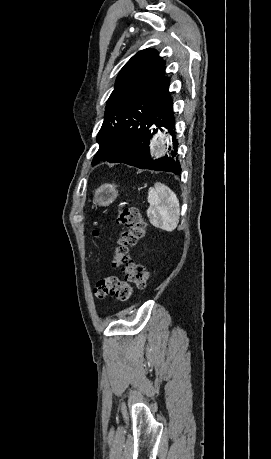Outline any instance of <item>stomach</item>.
Listing matches in <instances>:
<instances>
[{
  "label": "stomach",
  "instance_id": "stomach-1",
  "mask_svg": "<svg viewBox=\"0 0 271 459\" xmlns=\"http://www.w3.org/2000/svg\"><path fill=\"white\" fill-rule=\"evenodd\" d=\"M116 188L117 186H113V184L99 186L93 196V204L95 206H109V204H112L118 196Z\"/></svg>",
  "mask_w": 271,
  "mask_h": 459
}]
</instances>
